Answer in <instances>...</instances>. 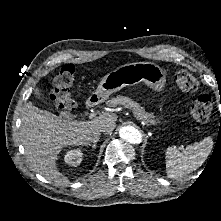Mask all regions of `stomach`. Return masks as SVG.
Returning <instances> with one entry per match:
<instances>
[{
	"mask_svg": "<svg viewBox=\"0 0 221 221\" xmlns=\"http://www.w3.org/2000/svg\"><path fill=\"white\" fill-rule=\"evenodd\" d=\"M141 82L160 92L166 82L165 73L162 68L151 62L125 64L104 76L93 96L96 101L103 102L122 88Z\"/></svg>",
	"mask_w": 221,
	"mask_h": 221,
	"instance_id": "1",
	"label": "stomach"
}]
</instances>
